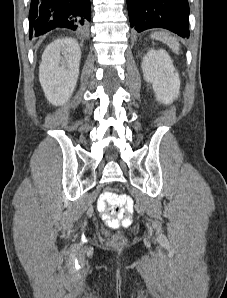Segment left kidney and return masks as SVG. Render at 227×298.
Returning a JSON list of instances; mask_svg holds the SVG:
<instances>
[{"instance_id":"1","label":"left kidney","mask_w":227,"mask_h":298,"mask_svg":"<svg viewBox=\"0 0 227 298\" xmlns=\"http://www.w3.org/2000/svg\"><path fill=\"white\" fill-rule=\"evenodd\" d=\"M142 71L146 82L152 84L157 101L168 105L178 98L179 74L165 50H149L143 58Z\"/></svg>"}]
</instances>
